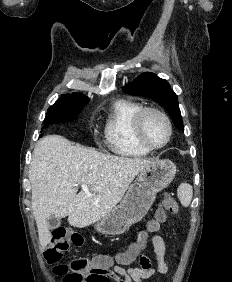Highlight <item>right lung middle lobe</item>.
Returning a JSON list of instances; mask_svg holds the SVG:
<instances>
[{
	"label": "right lung middle lobe",
	"mask_w": 232,
	"mask_h": 282,
	"mask_svg": "<svg viewBox=\"0 0 232 282\" xmlns=\"http://www.w3.org/2000/svg\"><path fill=\"white\" fill-rule=\"evenodd\" d=\"M87 102L88 99L57 101L54 105L48 108L43 128H46L54 123L72 122ZM40 136H42V134Z\"/></svg>",
	"instance_id": "dd1d6c3e"
}]
</instances>
